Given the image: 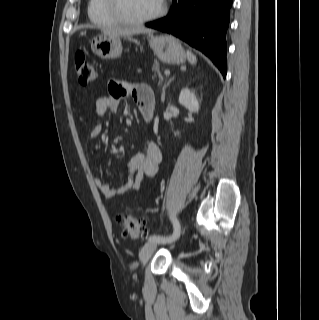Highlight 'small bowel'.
<instances>
[{"mask_svg": "<svg viewBox=\"0 0 319 320\" xmlns=\"http://www.w3.org/2000/svg\"><path fill=\"white\" fill-rule=\"evenodd\" d=\"M131 97L136 102L140 112L148 109L153 113L154 95L151 87L143 82H129L126 80H112L109 83L108 94L96 100L94 114L102 117L106 112L115 113L120 101ZM102 133V126L95 125L89 131V138L96 139ZM162 155L155 142H147L144 151L134 154L128 161V180L114 188L102 178H95V184L102 195L111 199L129 191H139L144 177L156 175L161 163Z\"/></svg>", "mask_w": 319, "mask_h": 320, "instance_id": "small-bowel-1", "label": "small bowel"}]
</instances>
